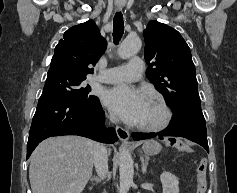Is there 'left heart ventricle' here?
Masks as SVG:
<instances>
[{"instance_id":"left-heart-ventricle-1","label":"left heart ventricle","mask_w":237,"mask_h":193,"mask_svg":"<svg viewBox=\"0 0 237 193\" xmlns=\"http://www.w3.org/2000/svg\"><path fill=\"white\" fill-rule=\"evenodd\" d=\"M162 116L160 108L151 100L147 101V104L142 113L141 120L138 124H154L157 123Z\"/></svg>"}]
</instances>
